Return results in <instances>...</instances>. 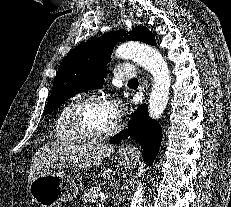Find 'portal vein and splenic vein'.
<instances>
[{"label": "portal vein and splenic vein", "mask_w": 231, "mask_h": 207, "mask_svg": "<svg viewBox=\"0 0 231 207\" xmlns=\"http://www.w3.org/2000/svg\"><path fill=\"white\" fill-rule=\"evenodd\" d=\"M97 207H104V203L103 202L102 203H98Z\"/></svg>", "instance_id": "obj_1"}]
</instances>
